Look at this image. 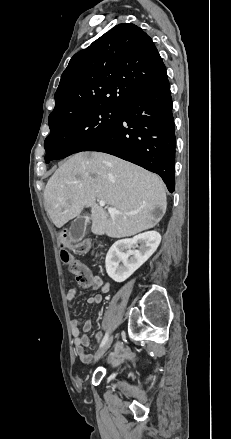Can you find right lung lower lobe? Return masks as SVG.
Returning <instances> with one entry per match:
<instances>
[{
  "instance_id": "1",
  "label": "right lung lower lobe",
  "mask_w": 231,
  "mask_h": 439,
  "mask_svg": "<svg viewBox=\"0 0 231 439\" xmlns=\"http://www.w3.org/2000/svg\"><path fill=\"white\" fill-rule=\"evenodd\" d=\"M84 151L105 152L160 175L175 188V127L169 82L131 99L117 124Z\"/></svg>"
}]
</instances>
